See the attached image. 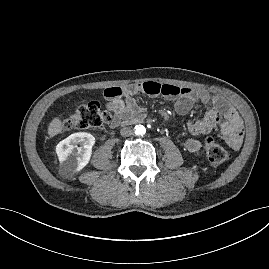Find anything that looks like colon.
<instances>
[{
    "instance_id": "5ec220e1",
    "label": "colon",
    "mask_w": 269,
    "mask_h": 269,
    "mask_svg": "<svg viewBox=\"0 0 269 269\" xmlns=\"http://www.w3.org/2000/svg\"><path fill=\"white\" fill-rule=\"evenodd\" d=\"M110 113L104 110L98 102H90L78 106L75 111L63 120L67 130L94 129L111 122ZM203 148L214 165H222L229 159L228 151L215 142L212 137L204 139Z\"/></svg>"
}]
</instances>
